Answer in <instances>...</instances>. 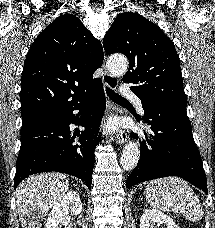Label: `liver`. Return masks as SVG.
<instances>
[{"mask_svg":"<svg viewBox=\"0 0 215 228\" xmlns=\"http://www.w3.org/2000/svg\"><path fill=\"white\" fill-rule=\"evenodd\" d=\"M69 188L64 174L47 172L29 176L16 190V206L22 228H41L44 214Z\"/></svg>","mask_w":215,"mask_h":228,"instance_id":"6515ba94","label":"liver"}]
</instances>
